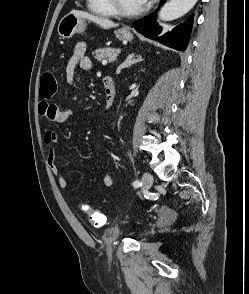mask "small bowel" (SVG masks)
Segmentation results:
<instances>
[{
	"label": "small bowel",
	"mask_w": 249,
	"mask_h": 294,
	"mask_svg": "<svg viewBox=\"0 0 249 294\" xmlns=\"http://www.w3.org/2000/svg\"><path fill=\"white\" fill-rule=\"evenodd\" d=\"M86 44L83 42L77 43L68 58L66 65V77L69 82H73L76 70L79 68L82 71H89L92 68V62L89 57L85 55ZM39 114L43 117L49 124H59L66 122L72 115L73 110L71 108L62 109L59 106L41 102L39 104ZM59 141V136L57 133L52 131L50 128L46 130L45 143L48 146V163L49 167L55 176L58 185L62 189L68 188V181L64 173L59 169L56 163L57 157V143ZM104 187H111L113 184V179L108 173L103 175L102 179ZM173 214L166 211L163 212V219H169Z\"/></svg>",
	"instance_id": "small-bowel-1"
}]
</instances>
